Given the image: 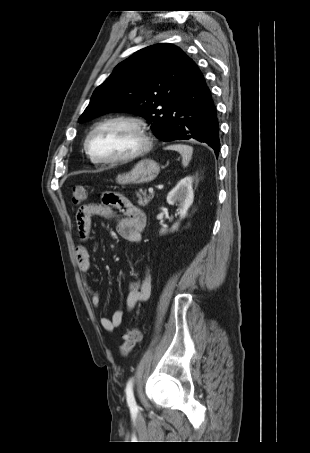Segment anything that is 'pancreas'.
<instances>
[{
  "instance_id": "pancreas-1",
  "label": "pancreas",
  "mask_w": 310,
  "mask_h": 453,
  "mask_svg": "<svg viewBox=\"0 0 310 453\" xmlns=\"http://www.w3.org/2000/svg\"><path fill=\"white\" fill-rule=\"evenodd\" d=\"M138 198V205L139 206H146L148 203L154 198V194L147 195L146 190H140L137 194Z\"/></svg>"
}]
</instances>
